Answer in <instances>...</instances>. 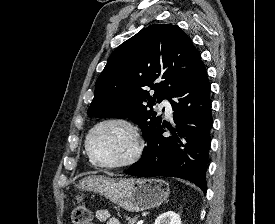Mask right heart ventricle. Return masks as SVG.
I'll use <instances>...</instances> for the list:
<instances>
[{
    "instance_id": "obj_1",
    "label": "right heart ventricle",
    "mask_w": 275,
    "mask_h": 224,
    "mask_svg": "<svg viewBox=\"0 0 275 224\" xmlns=\"http://www.w3.org/2000/svg\"><path fill=\"white\" fill-rule=\"evenodd\" d=\"M89 162H90L92 165H94L93 162H92L90 159H89Z\"/></svg>"
}]
</instances>
